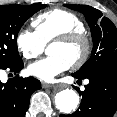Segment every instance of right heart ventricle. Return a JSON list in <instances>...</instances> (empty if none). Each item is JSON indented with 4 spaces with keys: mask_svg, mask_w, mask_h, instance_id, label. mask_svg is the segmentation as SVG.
I'll use <instances>...</instances> for the list:
<instances>
[{
    "mask_svg": "<svg viewBox=\"0 0 117 117\" xmlns=\"http://www.w3.org/2000/svg\"><path fill=\"white\" fill-rule=\"evenodd\" d=\"M32 26L45 45L59 35L85 30L84 23L78 15L60 8L39 14L33 19Z\"/></svg>",
    "mask_w": 117,
    "mask_h": 117,
    "instance_id": "right-heart-ventricle-1",
    "label": "right heart ventricle"
}]
</instances>
